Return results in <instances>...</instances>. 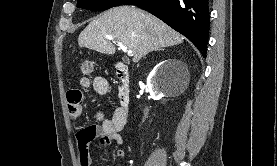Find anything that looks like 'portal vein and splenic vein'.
<instances>
[{
  "label": "portal vein and splenic vein",
  "instance_id": "portal-vein-and-splenic-vein-1",
  "mask_svg": "<svg viewBox=\"0 0 277 166\" xmlns=\"http://www.w3.org/2000/svg\"><path fill=\"white\" fill-rule=\"evenodd\" d=\"M105 38L108 40H114V38L109 35L105 36ZM117 44L124 53H127L128 56H133V52L131 50H128L122 43L117 41Z\"/></svg>",
  "mask_w": 277,
  "mask_h": 166
}]
</instances>
